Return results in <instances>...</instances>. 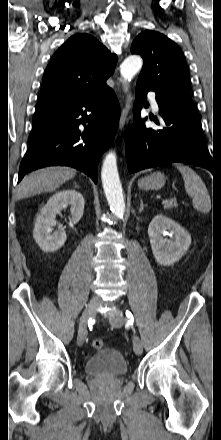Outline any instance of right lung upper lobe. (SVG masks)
<instances>
[{"instance_id": "obj_1", "label": "right lung upper lobe", "mask_w": 221, "mask_h": 440, "mask_svg": "<svg viewBox=\"0 0 221 440\" xmlns=\"http://www.w3.org/2000/svg\"><path fill=\"white\" fill-rule=\"evenodd\" d=\"M116 62L117 56L93 36L73 35L49 62L38 104L104 92L109 88L106 80L113 74Z\"/></svg>"}]
</instances>
